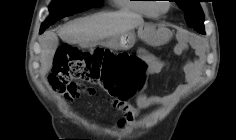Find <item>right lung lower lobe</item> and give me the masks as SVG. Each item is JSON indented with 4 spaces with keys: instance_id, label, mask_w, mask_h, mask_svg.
Returning a JSON list of instances; mask_svg holds the SVG:
<instances>
[{
    "instance_id": "1",
    "label": "right lung lower lobe",
    "mask_w": 236,
    "mask_h": 140,
    "mask_svg": "<svg viewBox=\"0 0 236 140\" xmlns=\"http://www.w3.org/2000/svg\"><path fill=\"white\" fill-rule=\"evenodd\" d=\"M44 30H45V29H41V30H40V33H43Z\"/></svg>"
}]
</instances>
